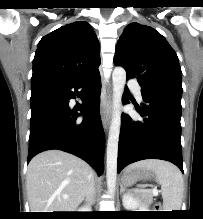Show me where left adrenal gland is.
I'll return each instance as SVG.
<instances>
[{"instance_id":"left-adrenal-gland-1","label":"left adrenal gland","mask_w":203,"mask_h":219,"mask_svg":"<svg viewBox=\"0 0 203 219\" xmlns=\"http://www.w3.org/2000/svg\"><path fill=\"white\" fill-rule=\"evenodd\" d=\"M126 190V187L123 184H120V193Z\"/></svg>"}]
</instances>
